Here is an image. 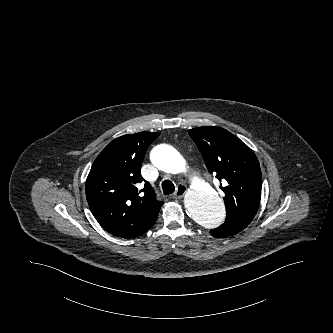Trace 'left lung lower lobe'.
Masks as SVG:
<instances>
[{"instance_id": "0a47b994", "label": "left lung lower lobe", "mask_w": 333, "mask_h": 333, "mask_svg": "<svg viewBox=\"0 0 333 333\" xmlns=\"http://www.w3.org/2000/svg\"><path fill=\"white\" fill-rule=\"evenodd\" d=\"M247 226L248 224L239 222L234 219H228L225 220L224 224L218 228L210 230V234L216 238H224L239 233Z\"/></svg>"}]
</instances>
